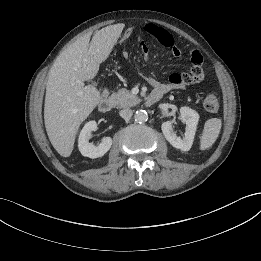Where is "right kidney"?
I'll return each instance as SVG.
<instances>
[{"instance_id":"1","label":"right kidney","mask_w":261,"mask_h":261,"mask_svg":"<svg viewBox=\"0 0 261 261\" xmlns=\"http://www.w3.org/2000/svg\"><path fill=\"white\" fill-rule=\"evenodd\" d=\"M97 130V123L95 120L87 122L80 132L78 139V148L80 153L89 158H98L106 154L112 145V138L105 137L98 146L89 142L92 132Z\"/></svg>"}]
</instances>
